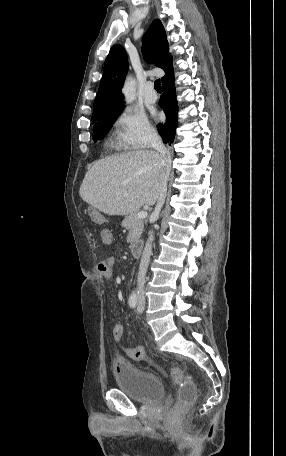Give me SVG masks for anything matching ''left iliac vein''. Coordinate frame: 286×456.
<instances>
[{
  "label": "left iliac vein",
  "instance_id": "4c4485c4",
  "mask_svg": "<svg viewBox=\"0 0 286 456\" xmlns=\"http://www.w3.org/2000/svg\"><path fill=\"white\" fill-rule=\"evenodd\" d=\"M145 307V299L143 297L139 298L137 305V312L141 313Z\"/></svg>",
  "mask_w": 286,
  "mask_h": 456
}]
</instances>
